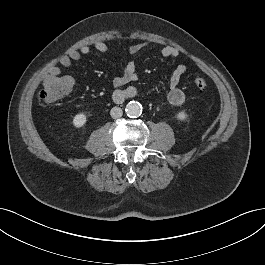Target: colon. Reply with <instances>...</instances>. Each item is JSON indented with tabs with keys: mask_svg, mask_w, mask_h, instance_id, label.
Wrapping results in <instances>:
<instances>
[{
	"mask_svg": "<svg viewBox=\"0 0 265 265\" xmlns=\"http://www.w3.org/2000/svg\"><path fill=\"white\" fill-rule=\"evenodd\" d=\"M73 79L70 76L48 75L42 85L40 99L46 106L54 105L58 100L69 95L73 88ZM195 86L204 92L208 88V82L203 77L194 78Z\"/></svg>",
	"mask_w": 265,
	"mask_h": 265,
	"instance_id": "obj_1",
	"label": "colon"
}]
</instances>
